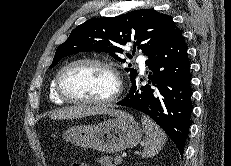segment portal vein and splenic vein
I'll return each instance as SVG.
<instances>
[{
    "label": "portal vein and splenic vein",
    "mask_w": 231,
    "mask_h": 166,
    "mask_svg": "<svg viewBox=\"0 0 231 166\" xmlns=\"http://www.w3.org/2000/svg\"><path fill=\"white\" fill-rule=\"evenodd\" d=\"M124 155H122V157H123ZM122 157H118L119 159H122Z\"/></svg>",
    "instance_id": "obj_1"
}]
</instances>
